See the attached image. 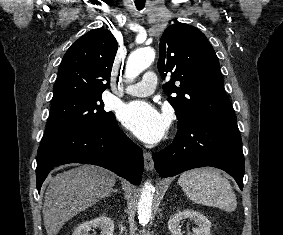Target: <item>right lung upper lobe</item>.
Masks as SVG:
<instances>
[{
    "mask_svg": "<svg viewBox=\"0 0 283 235\" xmlns=\"http://www.w3.org/2000/svg\"><path fill=\"white\" fill-rule=\"evenodd\" d=\"M117 48L115 37L103 28L91 30L74 42L59 66L52 103L71 97L101 96L110 87Z\"/></svg>",
    "mask_w": 283,
    "mask_h": 235,
    "instance_id": "obj_1",
    "label": "right lung upper lobe"
}]
</instances>
